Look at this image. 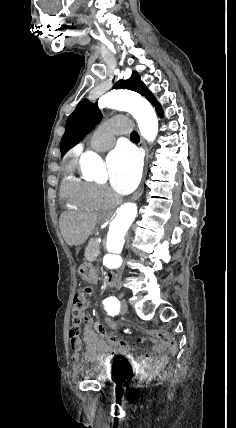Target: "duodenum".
I'll use <instances>...</instances> for the list:
<instances>
[{"mask_svg": "<svg viewBox=\"0 0 236 428\" xmlns=\"http://www.w3.org/2000/svg\"><path fill=\"white\" fill-rule=\"evenodd\" d=\"M105 283L107 288H114L117 283V275L110 272L105 277Z\"/></svg>", "mask_w": 236, "mask_h": 428, "instance_id": "duodenum-1", "label": "duodenum"}]
</instances>
